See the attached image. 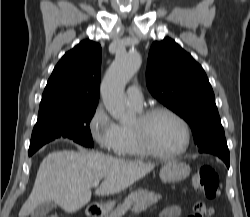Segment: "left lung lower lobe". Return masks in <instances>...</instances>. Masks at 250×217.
I'll return each instance as SVG.
<instances>
[{
	"instance_id": "left-lung-lower-lobe-1",
	"label": "left lung lower lobe",
	"mask_w": 250,
	"mask_h": 217,
	"mask_svg": "<svg viewBox=\"0 0 250 217\" xmlns=\"http://www.w3.org/2000/svg\"><path fill=\"white\" fill-rule=\"evenodd\" d=\"M200 153H209L221 158L227 167L230 165L229 150L227 147L226 139L224 137L217 138L211 142L206 143L199 149Z\"/></svg>"
}]
</instances>
